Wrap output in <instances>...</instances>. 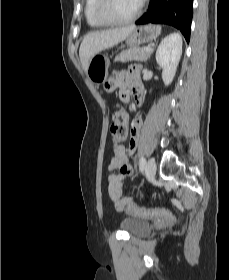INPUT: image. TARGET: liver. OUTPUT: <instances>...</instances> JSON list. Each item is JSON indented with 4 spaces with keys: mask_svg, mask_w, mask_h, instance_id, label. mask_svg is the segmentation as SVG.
<instances>
[{
    "mask_svg": "<svg viewBox=\"0 0 229 280\" xmlns=\"http://www.w3.org/2000/svg\"><path fill=\"white\" fill-rule=\"evenodd\" d=\"M134 29L135 26H129L87 33L79 49V57L83 69L86 71L88 63L93 56L124 41Z\"/></svg>",
    "mask_w": 229,
    "mask_h": 280,
    "instance_id": "6515ba94",
    "label": "liver"
}]
</instances>
